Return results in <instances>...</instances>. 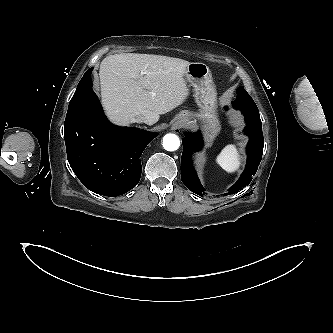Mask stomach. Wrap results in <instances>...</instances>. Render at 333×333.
<instances>
[{
    "label": "stomach",
    "instance_id": "stomach-1",
    "mask_svg": "<svg viewBox=\"0 0 333 333\" xmlns=\"http://www.w3.org/2000/svg\"><path fill=\"white\" fill-rule=\"evenodd\" d=\"M184 78L194 87V97L200 111L191 115L182 111L176 116L178 122L184 118L193 119L191 123H200L207 145H211L220 133V121L217 116V92L213 83L209 67L201 62L190 63L185 71Z\"/></svg>",
    "mask_w": 333,
    "mask_h": 333
}]
</instances>
